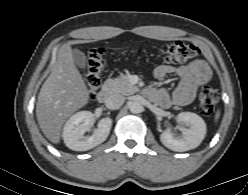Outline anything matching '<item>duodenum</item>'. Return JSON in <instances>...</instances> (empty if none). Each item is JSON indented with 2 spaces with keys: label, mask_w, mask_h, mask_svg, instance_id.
I'll use <instances>...</instances> for the list:
<instances>
[{
  "label": "duodenum",
  "mask_w": 248,
  "mask_h": 195,
  "mask_svg": "<svg viewBox=\"0 0 248 195\" xmlns=\"http://www.w3.org/2000/svg\"><path fill=\"white\" fill-rule=\"evenodd\" d=\"M97 99L100 103H109L112 99V89L110 86H103L97 93Z\"/></svg>",
  "instance_id": "1"
}]
</instances>
